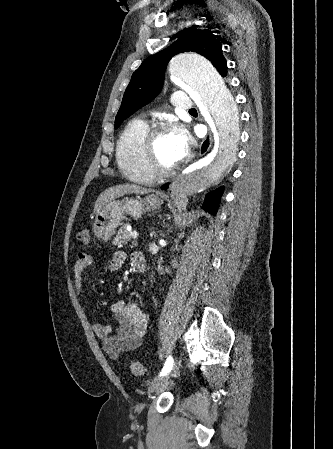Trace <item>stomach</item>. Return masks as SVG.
I'll return each instance as SVG.
<instances>
[{
	"label": "stomach",
	"instance_id": "0dacf381",
	"mask_svg": "<svg viewBox=\"0 0 333 449\" xmlns=\"http://www.w3.org/2000/svg\"><path fill=\"white\" fill-rule=\"evenodd\" d=\"M160 199L150 194L143 200L124 198L121 201L115 199L106 203L97 213L94 220L93 230L97 238L107 241L115 234L116 228L122 225L125 214L134 218L160 206Z\"/></svg>",
	"mask_w": 333,
	"mask_h": 449
}]
</instances>
